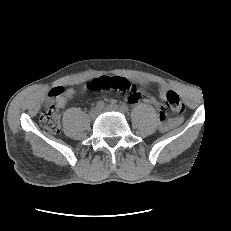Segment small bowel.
<instances>
[{
  "mask_svg": "<svg viewBox=\"0 0 231 231\" xmlns=\"http://www.w3.org/2000/svg\"><path fill=\"white\" fill-rule=\"evenodd\" d=\"M103 77H107V76H103ZM102 78V77H100ZM98 79V78H97ZM59 89H61L62 93L56 98L57 104L59 107H64L66 102L71 99L74 94L75 91L73 89H63L61 87H57ZM168 91V87L166 85H161L160 87V94L161 97H165L166 92ZM127 101L130 104H137L141 101L143 102H147V103H151V104H157L156 99L148 94H145L143 92H134L131 93L127 96ZM177 123L175 120H172L169 125H173ZM163 128H166V124H162Z\"/></svg>",
  "mask_w": 231,
  "mask_h": 231,
  "instance_id": "1",
  "label": "small bowel"
}]
</instances>
